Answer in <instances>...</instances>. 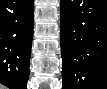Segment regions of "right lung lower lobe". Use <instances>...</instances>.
Listing matches in <instances>:
<instances>
[{
	"label": "right lung lower lobe",
	"instance_id": "1",
	"mask_svg": "<svg viewBox=\"0 0 107 89\" xmlns=\"http://www.w3.org/2000/svg\"><path fill=\"white\" fill-rule=\"evenodd\" d=\"M33 0H0V83L26 89L33 36Z\"/></svg>",
	"mask_w": 107,
	"mask_h": 89
}]
</instances>
